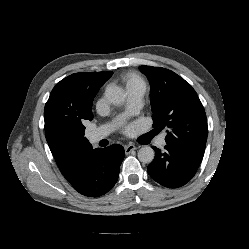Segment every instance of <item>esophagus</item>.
<instances>
[{
  "label": "esophagus",
  "mask_w": 249,
  "mask_h": 249,
  "mask_svg": "<svg viewBox=\"0 0 249 249\" xmlns=\"http://www.w3.org/2000/svg\"><path fill=\"white\" fill-rule=\"evenodd\" d=\"M138 147L134 144H128L125 146V153L129 154L131 153L133 150H136Z\"/></svg>",
  "instance_id": "34e87169"
}]
</instances>
